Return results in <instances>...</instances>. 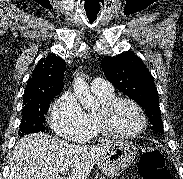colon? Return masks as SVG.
Masks as SVG:
<instances>
[{
  "mask_svg": "<svg viewBox=\"0 0 183 179\" xmlns=\"http://www.w3.org/2000/svg\"><path fill=\"white\" fill-rule=\"evenodd\" d=\"M139 171L143 179H172L163 154L155 148L143 150L139 160Z\"/></svg>",
  "mask_w": 183,
  "mask_h": 179,
  "instance_id": "obj_1",
  "label": "colon"
}]
</instances>
